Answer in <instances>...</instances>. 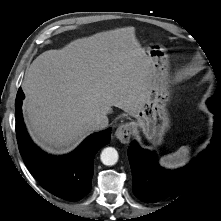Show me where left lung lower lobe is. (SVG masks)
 Segmentation results:
<instances>
[{"instance_id":"1","label":"left lung lower lobe","mask_w":221,"mask_h":221,"mask_svg":"<svg viewBox=\"0 0 221 221\" xmlns=\"http://www.w3.org/2000/svg\"><path fill=\"white\" fill-rule=\"evenodd\" d=\"M210 107V106H209ZM214 113V132L208 148L183 169L168 171L161 168L155 155L132 142L128 158L132 170L133 192L140 200L154 203L177 196L191 187L205 172L215 148L221 147V108H210Z\"/></svg>"}]
</instances>
